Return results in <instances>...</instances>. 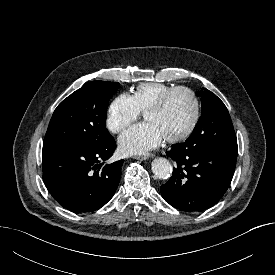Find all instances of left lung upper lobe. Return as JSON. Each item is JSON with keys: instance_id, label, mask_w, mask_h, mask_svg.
<instances>
[{"instance_id": "5c2ea615", "label": "left lung upper lobe", "mask_w": 275, "mask_h": 275, "mask_svg": "<svg viewBox=\"0 0 275 275\" xmlns=\"http://www.w3.org/2000/svg\"><path fill=\"white\" fill-rule=\"evenodd\" d=\"M202 115L193 133L181 148H229L238 149L235 131L224 103L211 91L205 89L201 96Z\"/></svg>"}]
</instances>
